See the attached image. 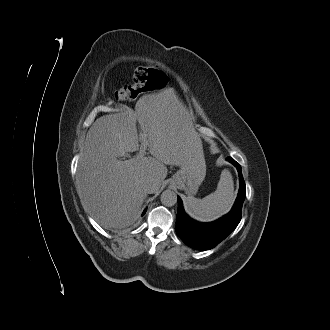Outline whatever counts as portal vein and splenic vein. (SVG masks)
I'll return each instance as SVG.
<instances>
[{
  "label": "portal vein and splenic vein",
  "instance_id": "obj_1",
  "mask_svg": "<svg viewBox=\"0 0 330 330\" xmlns=\"http://www.w3.org/2000/svg\"><path fill=\"white\" fill-rule=\"evenodd\" d=\"M140 138H141V140L143 142V146H142V149L140 150L139 154L136 156L137 159L140 158V157H142V155L145 153L146 145H147L146 140H145L146 139V134L145 133H141L140 134ZM131 160H133V159H130V161Z\"/></svg>",
  "mask_w": 330,
  "mask_h": 330
}]
</instances>
